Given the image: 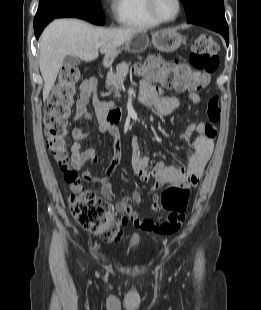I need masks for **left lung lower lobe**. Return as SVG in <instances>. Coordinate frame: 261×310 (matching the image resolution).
<instances>
[{
    "label": "left lung lower lobe",
    "mask_w": 261,
    "mask_h": 310,
    "mask_svg": "<svg viewBox=\"0 0 261 310\" xmlns=\"http://www.w3.org/2000/svg\"><path fill=\"white\" fill-rule=\"evenodd\" d=\"M198 25H202L208 29H211L213 31H216L220 33L226 40L227 46L229 44V30L228 25H222L219 23H214L212 21H203L200 23H197Z\"/></svg>",
    "instance_id": "0a47b994"
}]
</instances>
